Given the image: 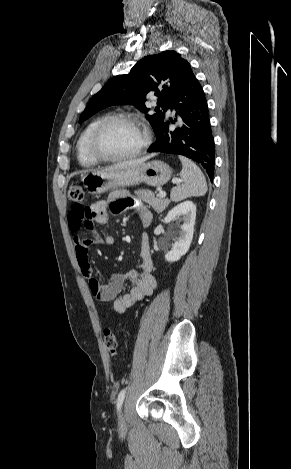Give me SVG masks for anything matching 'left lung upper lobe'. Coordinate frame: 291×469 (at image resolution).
Returning <instances> with one entry per match:
<instances>
[{
	"label": "left lung upper lobe",
	"instance_id": "left-lung-upper-lobe-1",
	"mask_svg": "<svg viewBox=\"0 0 291 469\" xmlns=\"http://www.w3.org/2000/svg\"><path fill=\"white\" fill-rule=\"evenodd\" d=\"M191 69L187 60L175 51H164L138 61L129 74L111 78L95 94L80 116L79 123L98 111L116 104H132L143 113L148 109L144 103L148 94L158 97L157 104L166 111L170 99L184 83ZM146 115L152 128L157 131L165 121V113L156 110Z\"/></svg>",
	"mask_w": 291,
	"mask_h": 469
}]
</instances>
